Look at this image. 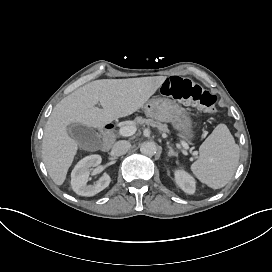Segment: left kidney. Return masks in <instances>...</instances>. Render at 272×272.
<instances>
[{"mask_svg": "<svg viewBox=\"0 0 272 272\" xmlns=\"http://www.w3.org/2000/svg\"><path fill=\"white\" fill-rule=\"evenodd\" d=\"M175 175L178 184L186 193L189 194L194 193L195 191L194 181L190 178V176L187 173L183 171H177Z\"/></svg>", "mask_w": 272, "mask_h": 272, "instance_id": "obj_1", "label": "left kidney"}]
</instances>
